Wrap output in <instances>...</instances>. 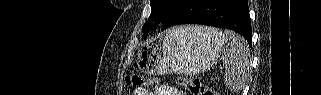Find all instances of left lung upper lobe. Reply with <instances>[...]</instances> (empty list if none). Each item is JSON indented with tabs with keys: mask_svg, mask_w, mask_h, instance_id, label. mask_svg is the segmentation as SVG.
Masks as SVG:
<instances>
[{
	"mask_svg": "<svg viewBox=\"0 0 321 95\" xmlns=\"http://www.w3.org/2000/svg\"><path fill=\"white\" fill-rule=\"evenodd\" d=\"M179 0H150L151 14L143 25L144 38L147 33L163 24Z\"/></svg>",
	"mask_w": 321,
	"mask_h": 95,
	"instance_id": "1",
	"label": "left lung upper lobe"
}]
</instances>
